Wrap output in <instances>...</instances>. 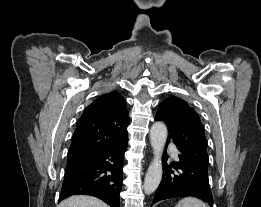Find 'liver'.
<instances>
[{"mask_svg":"<svg viewBox=\"0 0 261 207\" xmlns=\"http://www.w3.org/2000/svg\"><path fill=\"white\" fill-rule=\"evenodd\" d=\"M59 207H109L103 201L85 195L71 196L63 200Z\"/></svg>","mask_w":261,"mask_h":207,"instance_id":"obj_1","label":"liver"}]
</instances>
